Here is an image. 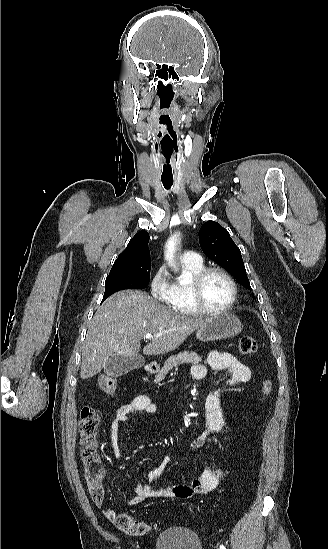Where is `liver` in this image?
<instances>
[{"label":"liver","instance_id":"1","mask_svg":"<svg viewBox=\"0 0 328 549\" xmlns=\"http://www.w3.org/2000/svg\"><path fill=\"white\" fill-rule=\"evenodd\" d=\"M206 319L186 317L160 305L144 291H119L97 309L87 331L82 351L81 379H90L102 371L106 359L116 355H138L147 333L161 337L150 339L143 355H164L184 343Z\"/></svg>","mask_w":328,"mask_h":549}]
</instances>
